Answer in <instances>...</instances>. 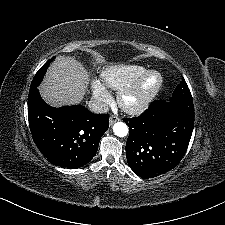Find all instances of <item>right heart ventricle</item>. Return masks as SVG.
Masks as SVG:
<instances>
[{
  "label": "right heart ventricle",
  "mask_w": 225,
  "mask_h": 225,
  "mask_svg": "<svg viewBox=\"0 0 225 225\" xmlns=\"http://www.w3.org/2000/svg\"><path fill=\"white\" fill-rule=\"evenodd\" d=\"M145 68L137 65H112L102 72L105 85L121 92L131 86L143 73Z\"/></svg>",
  "instance_id": "obj_1"
}]
</instances>
